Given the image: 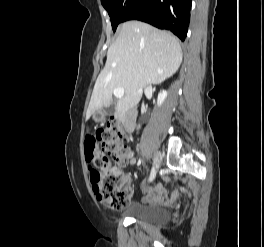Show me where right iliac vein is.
<instances>
[{
  "label": "right iliac vein",
  "instance_id": "63e3f726",
  "mask_svg": "<svg viewBox=\"0 0 264 247\" xmlns=\"http://www.w3.org/2000/svg\"><path fill=\"white\" fill-rule=\"evenodd\" d=\"M161 165V154L159 152H156L154 155V166L156 169H158Z\"/></svg>",
  "mask_w": 264,
  "mask_h": 247
}]
</instances>
